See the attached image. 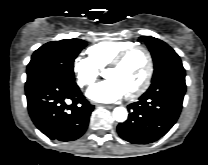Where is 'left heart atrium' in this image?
<instances>
[{"label": "left heart atrium", "instance_id": "1", "mask_svg": "<svg viewBox=\"0 0 208 165\" xmlns=\"http://www.w3.org/2000/svg\"><path fill=\"white\" fill-rule=\"evenodd\" d=\"M124 94L125 92L118 82L110 78L93 85L87 91L88 97L97 102H113Z\"/></svg>", "mask_w": 208, "mask_h": 165}]
</instances>
